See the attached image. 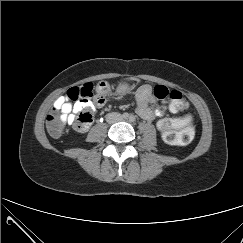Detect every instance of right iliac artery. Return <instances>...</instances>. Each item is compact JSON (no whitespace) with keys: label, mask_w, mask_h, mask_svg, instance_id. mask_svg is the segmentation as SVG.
<instances>
[{"label":"right iliac artery","mask_w":243,"mask_h":243,"mask_svg":"<svg viewBox=\"0 0 243 243\" xmlns=\"http://www.w3.org/2000/svg\"><path fill=\"white\" fill-rule=\"evenodd\" d=\"M122 117H123L124 119H128L129 114H128V113H124V114L122 115Z\"/></svg>","instance_id":"right-iliac-artery-1"}]
</instances>
